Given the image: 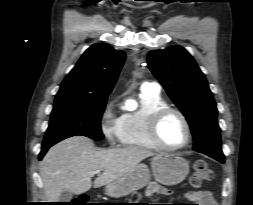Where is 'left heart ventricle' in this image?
Masks as SVG:
<instances>
[{"instance_id": "b2bd125f", "label": "left heart ventricle", "mask_w": 253, "mask_h": 205, "mask_svg": "<svg viewBox=\"0 0 253 205\" xmlns=\"http://www.w3.org/2000/svg\"><path fill=\"white\" fill-rule=\"evenodd\" d=\"M160 137L170 146L182 144L186 139V129L182 120L177 115H169L161 124Z\"/></svg>"}]
</instances>
